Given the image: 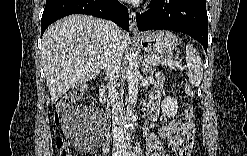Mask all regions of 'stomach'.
Instances as JSON below:
<instances>
[{
	"label": "stomach",
	"mask_w": 247,
	"mask_h": 156,
	"mask_svg": "<svg viewBox=\"0 0 247 156\" xmlns=\"http://www.w3.org/2000/svg\"><path fill=\"white\" fill-rule=\"evenodd\" d=\"M140 42L149 54L166 55L178 45V37L170 31H154L141 36Z\"/></svg>",
	"instance_id": "1"
}]
</instances>
